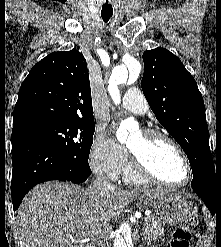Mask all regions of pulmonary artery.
<instances>
[{"mask_svg": "<svg viewBox=\"0 0 221 247\" xmlns=\"http://www.w3.org/2000/svg\"><path fill=\"white\" fill-rule=\"evenodd\" d=\"M120 109L138 115L148 112L149 106L141 91L138 88H130L122 99Z\"/></svg>", "mask_w": 221, "mask_h": 247, "instance_id": "obj_1", "label": "pulmonary artery"}]
</instances>
